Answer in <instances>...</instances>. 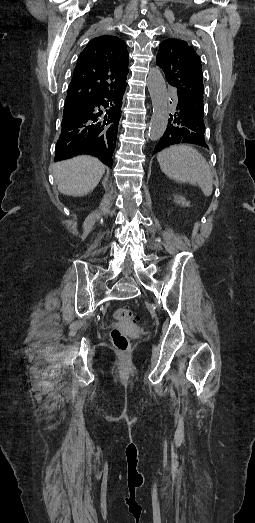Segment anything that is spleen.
I'll use <instances>...</instances> for the list:
<instances>
[{
	"label": "spleen",
	"mask_w": 255,
	"mask_h": 523,
	"mask_svg": "<svg viewBox=\"0 0 255 523\" xmlns=\"http://www.w3.org/2000/svg\"><path fill=\"white\" fill-rule=\"evenodd\" d=\"M157 160L168 178L199 184L204 196H211L212 172L202 154L191 146H171L159 152Z\"/></svg>",
	"instance_id": "3e777b00"
}]
</instances>
